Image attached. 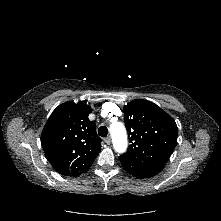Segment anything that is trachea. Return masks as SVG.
<instances>
[{"instance_id":"1","label":"trachea","mask_w":221,"mask_h":221,"mask_svg":"<svg viewBox=\"0 0 221 221\" xmlns=\"http://www.w3.org/2000/svg\"><path fill=\"white\" fill-rule=\"evenodd\" d=\"M98 134H99L101 137H106L107 134H108V129H107V127H105V126L99 127V129H98Z\"/></svg>"}]
</instances>
